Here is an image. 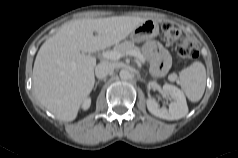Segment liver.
<instances>
[{
	"mask_svg": "<svg viewBox=\"0 0 238 158\" xmlns=\"http://www.w3.org/2000/svg\"><path fill=\"white\" fill-rule=\"evenodd\" d=\"M145 20L116 16L63 24L43 43L34 62L33 88L41 105L58 119L73 121L95 83L96 59L84 53L118 44Z\"/></svg>",
	"mask_w": 238,
	"mask_h": 158,
	"instance_id": "obj_1",
	"label": "liver"
}]
</instances>
